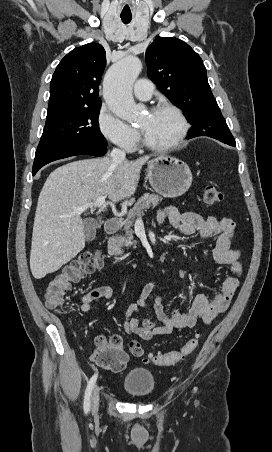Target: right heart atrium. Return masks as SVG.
Masks as SVG:
<instances>
[{
	"label": "right heart atrium",
	"instance_id": "right-heart-atrium-1",
	"mask_svg": "<svg viewBox=\"0 0 272 452\" xmlns=\"http://www.w3.org/2000/svg\"><path fill=\"white\" fill-rule=\"evenodd\" d=\"M97 126L102 136L113 145L125 151H131L136 146V131L105 107L98 113Z\"/></svg>",
	"mask_w": 272,
	"mask_h": 452
}]
</instances>
